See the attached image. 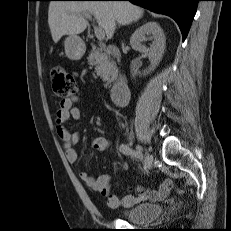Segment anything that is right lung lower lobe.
<instances>
[{"label": "right lung lower lobe", "instance_id": "1", "mask_svg": "<svg viewBox=\"0 0 231 231\" xmlns=\"http://www.w3.org/2000/svg\"><path fill=\"white\" fill-rule=\"evenodd\" d=\"M97 1V0H90ZM130 1L156 13L172 17L180 27L183 41L185 40L192 20L195 16L197 4L200 0H117Z\"/></svg>", "mask_w": 231, "mask_h": 231}]
</instances>
